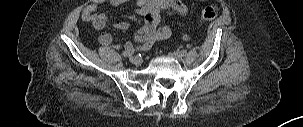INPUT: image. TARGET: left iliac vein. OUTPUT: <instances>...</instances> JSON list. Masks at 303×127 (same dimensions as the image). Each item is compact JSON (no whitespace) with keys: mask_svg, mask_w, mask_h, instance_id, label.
Wrapping results in <instances>:
<instances>
[{"mask_svg":"<svg viewBox=\"0 0 303 127\" xmlns=\"http://www.w3.org/2000/svg\"><path fill=\"white\" fill-rule=\"evenodd\" d=\"M170 56L176 60H179V61L182 60V56L178 52H173L172 54H170Z\"/></svg>","mask_w":303,"mask_h":127,"instance_id":"left-iliac-vein-1","label":"left iliac vein"}]
</instances>
